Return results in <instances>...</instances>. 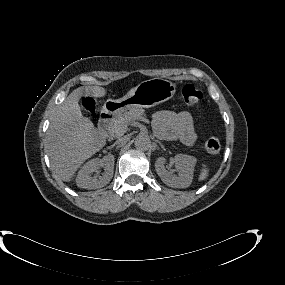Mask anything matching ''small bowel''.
Listing matches in <instances>:
<instances>
[{
  "label": "small bowel",
  "mask_w": 285,
  "mask_h": 285,
  "mask_svg": "<svg viewBox=\"0 0 285 285\" xmlns=\"http://www.w3.org/2000/svg\"><path fill=\"white\" fill-rule=\"evenodd\" d=\"M153 125L158 136L168 140H180L187 146L197 141L193 120L188 112L161 110L153 115Z\"/></svg>",
  "instance_id": "obj_1"
}]
</instances>
